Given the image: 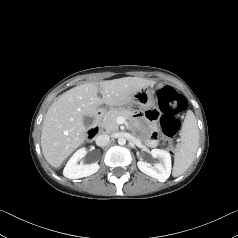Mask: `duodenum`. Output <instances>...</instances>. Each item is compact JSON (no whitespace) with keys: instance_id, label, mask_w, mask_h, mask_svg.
Listing matches in <instances>:
<instances>
[{"instance_id":"duodenum-1","label":"duodenum","mask_w":238,"mask_h":238,"mask_svg":"<svg viewBox=\"0 0 238 238\" xmlns=\"http://www.w3.org/2000/svg\"><path fill=\"white\" fill-rule=\"evenodd\" d=\"M103 110L102 109H99L96 113H95V116H94V121H93V125L92 127L90 128L89 132H88V135L90 138H94L95 136H97V134L99 133V130H100V122H101V119L103 117Z\"/></svg>"}]
</instances>
